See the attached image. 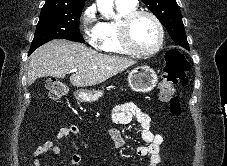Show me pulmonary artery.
Segmentation results:
<instances>
[{"label": "pulmonary artery", "mask_w": 227, "mask_h": 166, "mask_svg": "<svg viewBox=\"0 0 227 166\" xmlns=\"http://www.w3.org/2000/svg\"><path fill=\"white\" fill-rule=\"evenodd\" d=\"M138 0H115L117 3H121L128 6H136Z\"/></svg>", "instance_id": "pulmonary-artery-1"}]
</instances>
